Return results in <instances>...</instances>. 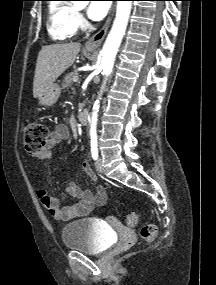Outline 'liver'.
<instances>
[{"mask_svg": "<svg viewBox=\"0 0 216 285\" xmlns=\"http://www.w3.org/2000/svg\"><path fill=\"white\" fill-rule=\"evenodd\" d=\"M79 52L80 43L42 47L37 57L33 81L34 98L48 89L66 69L72 66Z\"/></svg>", "mask_w": 216, "mask_h": 285, "instance_id": "1", "label": "liver"}]
</instances>
